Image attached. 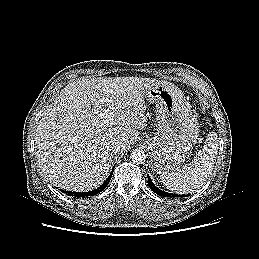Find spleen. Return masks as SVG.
Here are the masks:
<instances>
[{"instance_id":"1","label":"spleen","mask_w":259,"mask_h":259,"mask_svg":"<svg viewBox=\"0 0 259 259\" xmlns=\"http://www.w3.org/2000/svg\"><path fill=\"white\" fill-rule=\"evenodd\" d=\"M218 153V136L211 131L205 140V145L194 159L185 164L181 170L163 173L162 183L178 194L194 193L200 189L209 178Z\"/></svg>"}]
</instances>
